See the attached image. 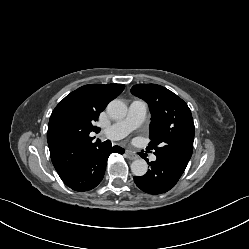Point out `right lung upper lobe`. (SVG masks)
I'll return each mask as SVG.
<instances>
[{"mask_svg":"<svg viewBox=\"0 0 249 249\" xmlns=\"http://www.w3.org/2000/svg\"><path fill=\"white\" fill-rule=\"evenodd\" d=\"M123 84H89L67 95L53 110L47 131L52 163L61 179L73 170L99 142L89 136L107 104L124 89Z\"/></svg>","mask_w":249,"mask_h":249,"instance_id":"cb5924a9","label":"right lung upper lobe"}]
</instances>
